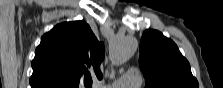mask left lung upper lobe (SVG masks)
I'll use <instances>...</instances> for the list:
<instances>
[{
    "mask_svg": "<svg viewBox=\"0 0 223 88\" xmlns=\"http://www.w3.org/2000/svg\"><path fill=\"white\" fill-rule=\"evenodd\" d=\"M139 65L145 76V88H198L190 64L177 45L156 30L143 33Z\"/></svg>",
    "mask_w": 223,
    "mask_h": 88,
    "instance_id": "1",
    "label": "left lung upper lobe"
}]
</instances>
